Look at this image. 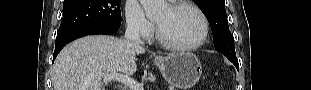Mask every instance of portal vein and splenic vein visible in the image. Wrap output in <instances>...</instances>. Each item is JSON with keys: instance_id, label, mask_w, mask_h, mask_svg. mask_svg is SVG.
Masks as SVG:
<instances>
[{"instance_id": "18ae733b", "label": "portal vein and splenic vein", "mask_w": 311, "mask_h": 90, "mask_svg": "<svg viewBox=\"0 0 311 90\" xmlns=\"http://www.w3.org/2000/svg\"><path fill=\"white\" fill-rule=\"evenodd\" d=\"M103 80L105 82H107V81L121 82V83L127 85L130 88V90H144L143 86L140 83L136 82L132 78L125 76L121 73L106 74L103 76Z\"/></svg>"}]
</instances>
